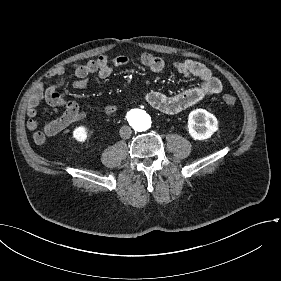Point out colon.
I'll list each match as a JSON object with an SVG mask.
<instances>
[{"instance_id": "colon-1", "label": "colon", "mask_w": 281, "mask_h": 281, "mask_svg": "<svg viewBox=\"0 0 281 281\" xmlns=\"http://www.w3.org/2000/svg\"><path fill=\"white\" fill-rule=\"evenodd\" d=\"M223 102H224V104L231 106V105L235 104L236 98L231 95H225V96H223Z\"/></svg>"}]
</instances>
